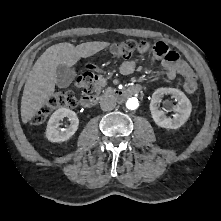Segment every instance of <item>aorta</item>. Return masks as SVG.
Wrapping results in <instances>:
<instances>
[{"mask_svg": "<svg viewBox=\"0 0 221 221\" xmlns=\"http://www.w3.org/2000/svg\"><path fill=\"white\" fill-rule=\"evenodd\" d=\"M139 106L138 99L135 97L129 98L126 102V107L130 110H135Z\"/></svg>", "mask_w": 221, "mask_h": 221, "instance_id": "762f6f07", "label": "aorta"}]
</instances>
